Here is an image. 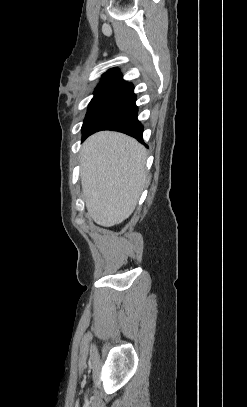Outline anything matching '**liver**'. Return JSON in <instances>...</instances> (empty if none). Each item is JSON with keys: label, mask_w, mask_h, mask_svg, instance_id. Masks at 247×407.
Returning a JSON list of instances; mask_svg holds the SVG:
<instances>
[{"label": "liver", "mask_w": 247, "mask_h": 407, "mask_svg": "<svg viewBox=\"0 0 247 407\" xmlns=\"http://www.w3.org/2000/svg\"><path fill=\"white\" fill-rule=\"evenodd\" d=\"M80 154L88 217L104 227L122 223L145 186V148L122 133L102 131L85 141Z\"/></svg>", "instance_id": "liver-1"}]
</instances>
